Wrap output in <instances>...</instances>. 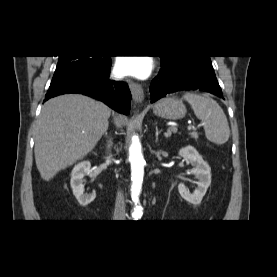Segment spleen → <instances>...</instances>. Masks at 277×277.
I'll return each instance as SVG.
<instances>
[{
  "instance_id": "3e777b00",
  "label": "spleen",
  "mask_w": 277,
  "mask_h": 277,
  "mask_svg": "<svg viewBox=\"0 0 277 277\" xmlns=\"http://www.w3.org/2000/svg\"><path fill=\"white\" fill-rule=\"evenodd\" d=\"M183 98L191 105L194 114L203 122L206 138L217 144L226 143L230 129L226 115L212 98L195 93H186Z\"/></svg>"
}]
</instances>
